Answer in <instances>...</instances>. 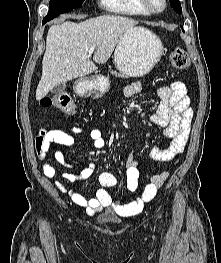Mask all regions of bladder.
<instances>
[{
  "label": "bladder",
  "instance_id": "31cf9c89",
  "mask_svg": "<svg viewBox=\"0 0 221 263\" xmlns=\"http://www.w3.org/2000/svg\"><path fill=\"white\" fill-rule=\"evenodd\" d=\"M99 221L102 222V223H110V224H116L118 223V219L114 216V215H102L100 218H99Z\"/></svg>",
  "mask_w": 221,
  "mask_h": 263
}]
</instances>
